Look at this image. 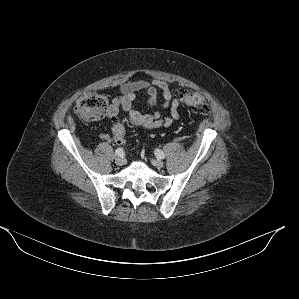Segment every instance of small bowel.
Returning <instances> with one entry per match:
<instances>
[{
  "instance_id": "small-bowel-1",
  "label": "small bowel",
  "mask_w": 299,
  "mask_h": 299,
  "mask_svg": "<svg viewBox=\"0 0 299 299\" xmlns=\"http://www.w3.org/2000/svg\"><path fill=\"white\" fill-rule=\"evenodd\" d=\"M120 95L114 97L107 110L106 117L115 119L122 109L128 115L129 122L142 129H157L170 127L180 119V99L179 91L171 88L170 85L158 79L135 80L125 82L119 87ZM146 92L148 95L147 105L154 106L158 102V95L161 94L163 102L161 109L152 114H143L135 106V99L139 92ZM168 110V115H163V111ZM101 138L105 141H114L118 144L122 141L108 133H103Z\"/></svg>"
}]
</instances>
